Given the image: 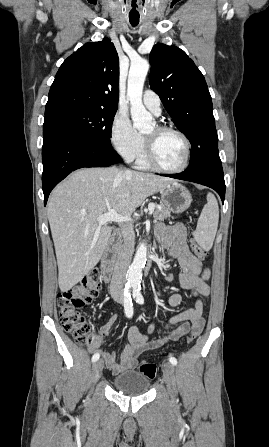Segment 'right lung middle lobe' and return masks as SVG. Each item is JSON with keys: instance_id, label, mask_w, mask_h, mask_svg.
I'll list each match as a JSON object with an SVG mask.
<instances>
[{"instance_id": "dd1d6c3e", "label": "right lung middle lobe", "mask_w": 269, "mask_h": 447, "mask_svg": "<svg viewBox=\"0 0 269 447\" xmlns=\"http://www.w3.org/2000/svg\"><path fill=\"white\" fill-rule=\"evenodd\" d=\"M117 109L62 107L45 114V120L67 124L75 132L111 147L112 121Z\"/></svg>"}]
</instances>
